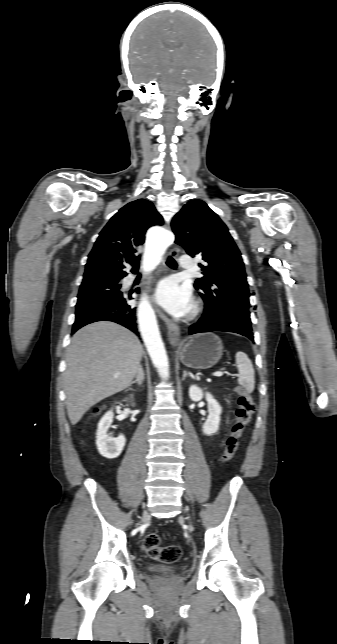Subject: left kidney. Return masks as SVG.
Returning <instances> with one entry per match:
<instances>
[{
    "label": "left kidney",
    "mask_w": 337,
    "mask_h": 644,
    "mask_svg": "<svg viewBox=\"0 0 337 644\" xmlns=\"http://www.w3.org/2000/svg\"><path fill=\"white\" fill-rule=\"evenodd\" d=\"M204 396L208 403L209 415L202 426V431L205 435L210 436L215 434L219 429L222 408L209 392L204 394L200 387L196 385L190 386L189 397L192 401H200Z\"/></svg>",
    "instance_id": "obj_1"
}]
</instances>
